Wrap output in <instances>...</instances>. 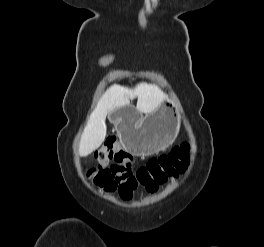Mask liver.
Segmentation results:
<instances>
[{
    "label": "liver",
    "instance_id": "6515ba94",
    "mask_svg": "<svg viewBox=\"0 0 264 247\" xmlns=\"http://www.w3.org/2000/svg\"><path fill=\"white\" fill-rule=\"evenodd\" d=\"M137 97V109L151 113L161 106L166 95L155 85L138 84L134 89L120 85L111 86L90 115L81 135L79 154L88 156L100 147L106 137L105 119L116 108L128 106L130 99Z\"/></svg>",
    "mask_w": 264,
    "mask_h": 247
}]
</instances>
